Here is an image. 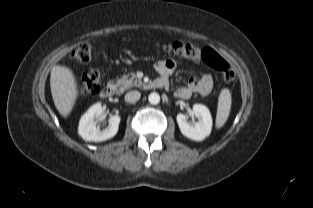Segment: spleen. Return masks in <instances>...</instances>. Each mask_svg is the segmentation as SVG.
I'll list each match as a JSON object with an SVG mask.
<instances>
[{"mask_svg": "<svg viewBox=\"0 0 313 208\" xmlns=\"http://www.w3.org/2000/svg\"><path fill=\"white\" fill-rule=\"evenodd\" d=\"M231 109V94L228 89H223L219 95L216 115V127L221 128L227 121Z\"/></svg>", "mask_w": 313, "mask_h": 208, "instance_id": "obj_1", "label": "spleen"}]
</instances>
